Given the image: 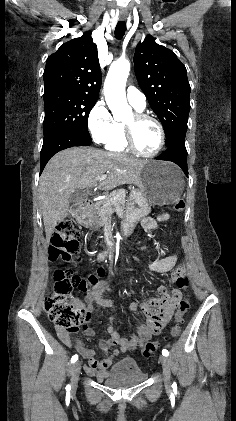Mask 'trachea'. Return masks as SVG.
Returning <instances> with one entry per match:
<instances>
[{
    "label": "trachea",
    "instance_id": "trachea-1",
    "mask_svg": "<svg viewBox=\"0 0 236 421\" xmlns=\"http://www.w3.org/2000/svg\"><path fill=\"white\" fill-rule=\"evenodd\" d=\"M126 32V23L125 21H119L115 27V38L117 40H122L124 37V34Z\"/></svg>",
    "mask_w": 236,
    "mask_h": 421
}]
</instances>
